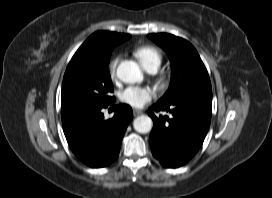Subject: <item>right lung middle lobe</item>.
Masks as SVG:
<instances>
[{
	"label": "right lung middle lobe",
	"mask_w": 272,
	"mask_h": 198,
	"mask_svg": "<svg viewBox=\"0 0 272 198\" xmlns=\"http://www.w3.org/2000/svg\"><path fill=\"white\" fill-rule=\"evenodd\" d=\"M113 49L100 53L85 62L62 85V108L100 106L112 102L113 85L109 75V60Z\"/></svg>",
	"instance_id": "1"
}]
</instances>
